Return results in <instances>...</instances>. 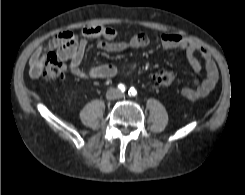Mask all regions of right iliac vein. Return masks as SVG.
<instances>
[{"mask_svg":"<svg viewBox=\"0 0 245 195\" xmlns=\"http://www.w3.org/2000/svg\"><path fill=\"white\" fill-rule=\"evenodd\" d=\"M116 96H117V91L114 90V89L109 90V91L107 92V94H106V97H107L108 99H114V98H116Z\"/></svg>","mask_w":245,"mask_h":195,"instance_id":"obj_1","label":"right iliac vein"}]
</instances>
